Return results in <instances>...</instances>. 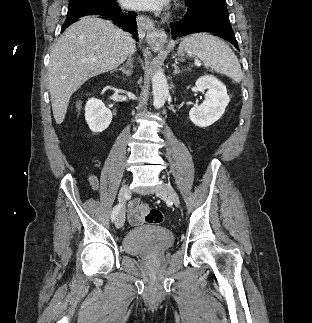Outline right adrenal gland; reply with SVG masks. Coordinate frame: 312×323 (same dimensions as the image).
<instances>
[{"label": "right adrenal gland", "instance_id": "2a0ac1e0", "mask_svg": "<svg viewBox=\"0 0 312 323\" xmlns=\"http://www.w3.org/2000/svg\"><path fill=\"white\" fill-rule=\"evenodd\" d=\"M127 66H125V68H118V70H120V72H123V74H125V76H131V70H127V68H131V64L130 62H126Z\"/></svg>", "mask_w": 312, "mask_h": 323}]
</instances>
